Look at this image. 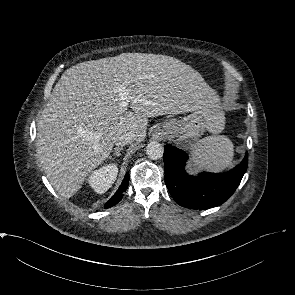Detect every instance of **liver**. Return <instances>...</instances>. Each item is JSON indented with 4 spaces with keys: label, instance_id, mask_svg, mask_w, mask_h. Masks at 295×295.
I'll return each instance as SVG.
<instances>
[{
    "label": "liver",
    "instance_id": "obj_1",
    "mask_svg": "<svg viewBox=\"0 0 295 295\" xmlns=\"http://www.w3.org/2000/svg\"><path fill=\"white\" fill-rule=\"evenodd\" d=\"M124 85L133 111L121 109ZM209 89L196 70L171 56L122 53L67 69L37 123L38 155L53 188L65 199L109 156L126 133L146 137L148 118L191 110ZM84 132H98L89 139Z\"/></svg>",
    "mask_w": 295,
    "mask_h": 295
}]
</instances>
